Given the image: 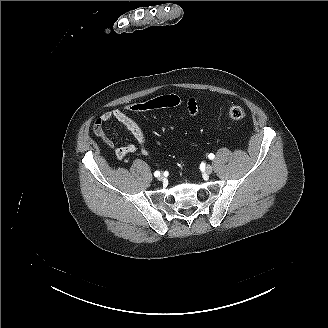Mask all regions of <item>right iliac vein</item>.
<instances>
[{"label": "right iliac vein", "mask_w": 328, "mask_h": 328, "mask_svg": "<svg viewBox=\"0 0 328 328\" xmlns=\"http://www.w3.org/2000/svg\"><path fill=\"white\" fill-rule=\"evenodd\" d=\"M163 178H164L163 175L158 176V180H160V181L163 180Z\"/></svg>", "instance_id": "right-iliac-vein-1"}]
</instances>
